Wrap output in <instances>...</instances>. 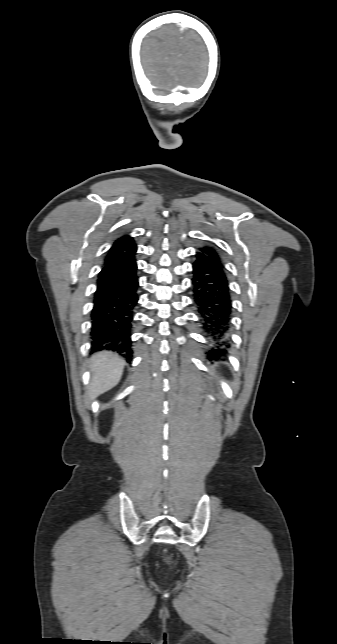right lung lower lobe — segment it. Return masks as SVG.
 Here are the masks:
<instances>
[{"mask_svg": "<svg viewBox=\"0 0 337 644\" xmlns=\"http://www.w3.org/2000/svg\"><path fill=\"white\" fill-rule=\"evenodd\" d=\"M134 257L106 264L99 273L92 310L94 351H117L131 359V327L138 295Z\"/></svg>", "mask_w": 337, "mask_h": 644, "instance_id": "1", "label": "right lung lower lobe"}]
</instances>
